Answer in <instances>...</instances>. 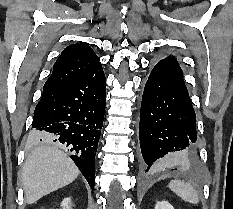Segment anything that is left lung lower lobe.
Returning <instances> with one entry per match:
<instances>
[{"mask_svg": "<svg viewBox=\"0 0 233 209\" xmlns=\"http://www.w3.org/2000/svg\"><path fill=\"white\" fill-rule=\"evenodd\" d=\"M139 136L146 172L196 162V115L173 56L160 60L146 82Z\"/></svg>", "mask_w": 233, "mask_h": 209, "instance_id": "left-lung-lower-lobe-1", "label": "left lung lower lobe"}]
</instances>
